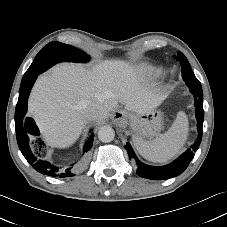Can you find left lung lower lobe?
I'll list each match as a JSON object with an SVG mask.
<instances>
[{"mask_svg": "<svg viewBox=\"0 0 227 227\" xmlns=\"http://www.w3.org/2000/svg\"><path fill=\"white\" fill-rule=\"evenodd\" d=\"M195 98L196 107V119L198 127V138L197 141L189 148L185 153H183L177 160L169 165L163 167H153L146 165L139 161L129 143L126 144L125 148L128 152L129 158L134 159L138 166L137 174L143 178L152 180L169 179L181 174L189 165L194 157V152L197 151L202 140V126L204 120V110H203V93L201 91L192 92Z\"/></svg>", "mask_w": 227, "mask_h": 227, "instance_id": "1", "label": "left lung lower lobe"}]
</instances>
